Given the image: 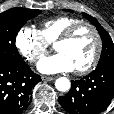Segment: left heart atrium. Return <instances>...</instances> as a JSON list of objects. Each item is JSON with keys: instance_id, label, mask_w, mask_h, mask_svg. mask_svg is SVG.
<instances>
[{"instance_id": "39dd6f15", "label": "left heart atrium", "mask_w": 114, "mask_h": 114, "mask_svg": "<svg viewBox=\"0 0 114 114\" xmlns=\"http://www.w3.org/2000/svg\"><path fill=\"white\" fill-rule=\"evenodd\" d=\"M74 65L63 53L45 57L38 63V70L45 74H55L59 72H71Z\"/></svg>"}]
</instances>
